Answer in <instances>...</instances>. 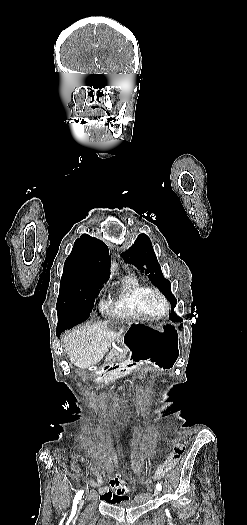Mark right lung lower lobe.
<instances>
[{
    "instance_id": "obj_1",
    "label": "right lung lower lobe",
    "mask_w": 247,
    "mask_h": 525,
    "mask_svg": "<svg viewBox=\"0 0 247 525\" xmlns=\"http://www.w3.org/2000/svg\"><path fill=\"white\" fill-rule=\"evenodd\" d=\"M71 327H68V326H57V331H56V335L59 336L61 334L62 331L66 330V329H69Z\"/></svg>"
}]
</instances>
